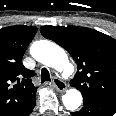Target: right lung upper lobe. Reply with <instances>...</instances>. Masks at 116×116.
Listing matches in <instances>:
<instances>
[{
	"label": "right lung upper lobe",
	"instance_id": "cb5924a9",
	"mask_svg": "<svg viewBox=\"0 0 116 116\" xmlns=\"http://www.w3.org/2000/svg\"><path fill=\"white\" fill-rule=\"evenodd\" d=\"M37 31L33 26L0 29V116H24L36 103V90L21 60Z\"/></svg>",
	"mask_w": 116,
	"mask_h": 116
}]
</instances>
